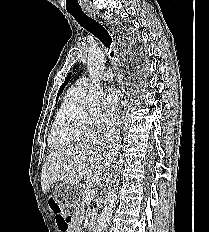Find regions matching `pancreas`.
Listing matches in <instances>:
<instances>
[{"label": "pancreas", "instance_id": "cf45deb5", "mask_svg": "<svg viewBox=\"0 0 209 232\" xmlns=\"http://www.w3.org/2000/svg\"><path fill=\"white\" fill-rule=\"evenodd\" d=\"M88 191H89V187L83 186V189H82V192H81L82 199H83V197L86 195V193H87ZM83 201H85V200L83 199Z\"/></svg>", "mask_w": 209, "mask_h": 232}]
</instances>
